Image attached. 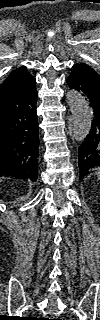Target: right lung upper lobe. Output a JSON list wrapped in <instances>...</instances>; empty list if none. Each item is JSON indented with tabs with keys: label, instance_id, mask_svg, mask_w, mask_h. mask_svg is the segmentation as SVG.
Wrapping results in <instances>:
<instances>
[{
	"label": "right lung upper lobe",
	"instance_id": "cb5924a9",
	"mask_svg": "<svg viewBox=\"0 0 100 320\" xmlns=\"http://www.w3.org/2000/svg\"><path fill=\"white\" fill-rule=\"evenodd\" d=\"M35 86V78L26 71L25 66L10 73L0 88V101L26 95Z\"/></svg>",
	"mask_w": 100,
	"mask_h": 320
}]
</instances>
